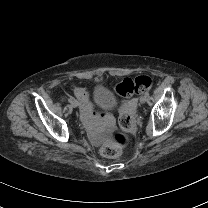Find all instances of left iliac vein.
I'll return each instance as SVG.
<instances>
[{
  "label": "left iliac vein",
  "instance_id": "left-iliac-vein-1",
  "mask_svg": "<svg viewBox=\"0 0 208 208\" xmlns=\"http://www.w3.org/2000/svg\"><path fill=\"white\" fill-rule=\"evenodd\" d=\"M147 101V96L143 95L140 97V102L143 104Z\"/></svg>",
  "mask_w": 208,
  "mask_h": 208
}]
</instances>
